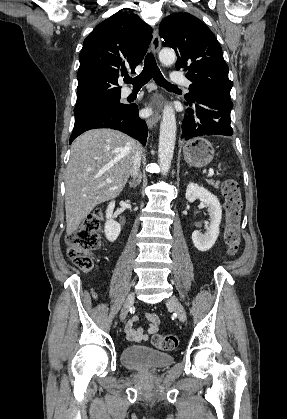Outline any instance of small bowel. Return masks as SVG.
<instances>
[{"instance_id":"c3829d8e","label":"small bowel","mask_w":287,"mask_h":419,"mask_svg":"<svg viewBox=\"0 0 287 419\" xmlns=\"http://www.w3.org/2000/svg\"><path fill=\"white\" fill-rule=\"evenodd\" d=\"M145 318L148 320L149 325L146 330L136 328L138 317L130 319L125 325V332L129 340L134 342L147 341L149 336L158 330L160 318L155 313H145Z\"/></svg>"}]
</instances>
